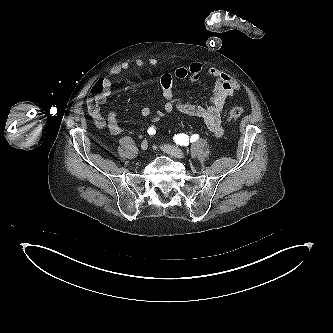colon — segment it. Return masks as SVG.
<instances>
[{"label":"colon","instance_id":"colon-1","mask_svg":"<svg viewBox=\"0 0 333 333\" xmlns=\"http://www.w3.org/2000/svg\"><path fill=\"white\" fill-rule=\"evenodd\" d=\"M103 93V86L100 81H98L90 92V97L88 99V109L92 114H97L100 112V98ZM244 113L242 107H233L228 111L227 118L229 121H235L240 118Z\"/></svg>","mask_w":333,"mask_h":333}]
</instances>
